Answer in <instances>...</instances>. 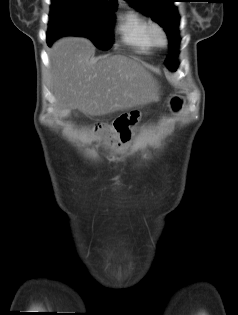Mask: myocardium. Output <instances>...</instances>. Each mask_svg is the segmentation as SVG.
Returning a JSON list of instances; mask_svg holds the SVG:
<instances>
[{
	"label": "myocardium",
	"instance_id": "obj_1",
	"mask_svg": "<svg viewBox=\"0 0 238 315\" xmlns=\"http://www.w3.org/2000/svg\"><path fill=\"white\" fill-rule=\"evenodd\" d=\"M150 37L155 46L163 47L167 44V35L164 28L158 23H152L149 29Z\"/></svg>",
	"mask_w": 238,
	"mask_h": 315
}]
</instances>
